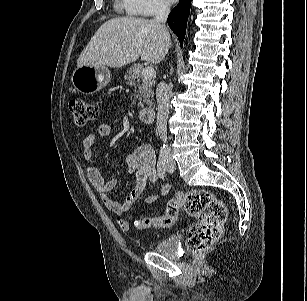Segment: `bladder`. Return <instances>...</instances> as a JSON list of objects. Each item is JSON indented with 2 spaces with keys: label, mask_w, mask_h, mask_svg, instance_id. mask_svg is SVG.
Returning a JSON list of instances; mask_svg holds the SVG:
<instances>
[{
  "label": "bladder",
  "mask_w": 307,
  "mask_h": 301,
  "mask_svg": "<svg viewBox=\"0 0 307 301\" xmlns=\"http://www.w3.org/2000/svg\"><path fill=\"white\" fill-rule=\"evenodd\" d=\"M180 242L179 235H169L155 244L153 251L168 257H176Z\"/></svg>",
  "instance_id": "31cf9c89"
}]
</instances>
